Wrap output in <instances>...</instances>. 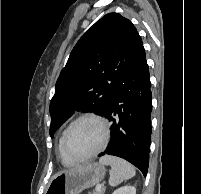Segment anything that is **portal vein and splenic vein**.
I'll return each mask as SVG.
<instances>
[{"label": "portal vein and splenic vein", "instance_id": "portal-vein-and-splenic-vein-1", "mask_svg": "<svg viewBox=\"0 0 201 194\" xmlns=\"http://www.w3.org/2000/svg\"><path fill=\"white\" fill-rule=\"evenodd\" d=\"M101 185L100 184H98L97 186H96V191H100V189H101Z\"/></svg>", "mask_w": 201, "mask_h": 194}]
</instances>
